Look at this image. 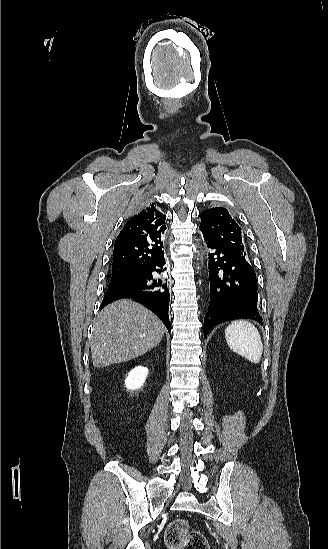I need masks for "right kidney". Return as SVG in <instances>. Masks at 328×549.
Returning <instances> with one entry per match:
<instances>
[{
    "label": "right kidney",
    "instance_id": "obj_1",
    "mask_svg": "<svg viewBox=\"0 0 328 549\" xmlns=\"http://www.w3.org/2000/svg\"><path fill=\"white\" fill-rule=\"evenodd\" d=\"M147 375L148 369H146V367H135V369H132V371L128 373V377L125 379V387H127V389H131V391H134V389H140Z\"/></svg>",
    "mask_w": 328,
    "mask_h": 549
}]
</instances>
